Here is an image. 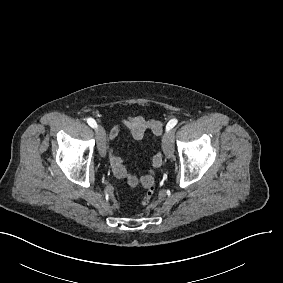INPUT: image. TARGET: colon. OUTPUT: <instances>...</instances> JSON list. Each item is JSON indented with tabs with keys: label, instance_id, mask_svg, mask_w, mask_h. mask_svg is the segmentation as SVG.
<instances>
[{
	"label": "colon",
	"instance_id": "colon-1",
	"mask_svg": "<svg viewBox=\"0 0 283 283\" xmlns=\"http://www.w3.org/2000/svg\"><path fill=\"white\" fill-rule=\"evenodd\" d=\"M155 179L154 177L150 176L146 181H145V194L142 197V205L143 206H148L150 202L152 201L154 197V191H155Z\"/></svg>",
	"mask_w": 283,
	"mask_h": 283
}]
</instances>
